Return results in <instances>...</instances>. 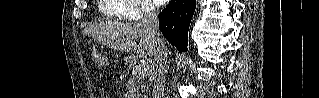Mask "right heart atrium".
<instances>
[{
    "mask_svg": "<svg viewBox=\"0 0 319 98\" xmlns=\"http://www.w3.org/2000/svg\"><path fill=\"white\" fill-rule=\"evenodd\" d=\"M129 9L124 13L127 19H142L156 15L157 8L148 0H128Z\"/></svg>",
    "mask_w": 319,
    "mask_h": 98,
    "instance_id": "obj_1",
    "label": "right heart atrium"
}]
</instances>
